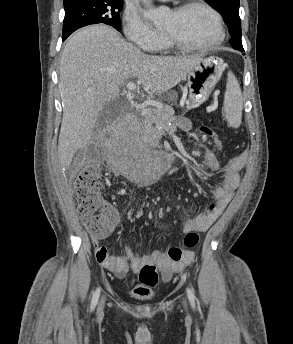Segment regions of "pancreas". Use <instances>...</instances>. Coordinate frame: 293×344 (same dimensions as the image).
Wrapping results in <instances>:
<instances>
[{"instance_id": "cf45deb5", "label": "pancreas", "mask_w": 293, "mask_h": 344, "mask_svg": "<svg viewBox=\"0 0 293 344\" xmlns=\"http://www.w3.org/2000/svg\"><path fill=\"white\" fill-rule=\"evenodd\" d=\"M142 120L137 122L135 129L123 128L119 131V136L122 139H126L128 136L133 135V132L137 134L148 135L150 131H154L160 135L166 128L169 122L174 123L175 126L180 125V121L173 115V110L168 106L164 105L162 108L148 109L145 113L140 114ZM153 125L162 127L160 130L154 129Z\"/></svg>"}]
</instances>
